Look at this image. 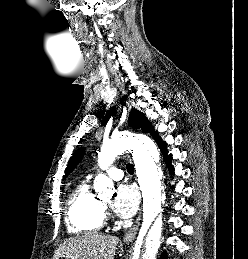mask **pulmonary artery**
<instances>
[{"mask_svg": "<svg viewBox=\"0 0 248 259\" xmlns=\"http://www.w3.org/2000/svg\"><path fill=\"white\" fill-rule=\"evenodd\" d=\"M107 175L113 180H120L123 177V171L119 168L112 167L107 170ZM91 176L92 175H89L88 178H90Z\"/></svg>", "mask_w": 248, "mask_h": 259, "instance_id": "pulmonary-artery-1", "label": "pulmonary artery"}]
</instances>
